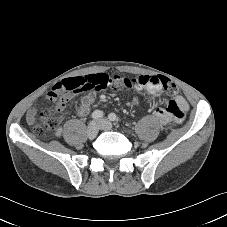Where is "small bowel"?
I'll return each instance as SVG.
<instances>
[{"label":"small bowel","instance_id":"c3829d8e","mask_svg":"<svg viewBox=\"0 0 227 227\" xmlns=\"http://www.w3.org/2000/svg\"><path fill=\"white\" fill-rule=\"evenodd\" d=\"M145 77L150 76L136 78L135 88L145 91L151 97L158 96L162 86L160 84H142L140 80ZM132 85L133 78L131 76L89 74L57 82L49 89L47 98L55 101L56 108L62 111L73 95L83 93L84 95L78 108V115L84 117L90 112V108L95 101V90H102L110 86L131 87ZM188 108L189 105L186 99L181 95H176L166 108H156L154 113L163 124H169L171 122H180ZM36 113L35 107L28 110L26 119L30 125L36 123Z\"/></svg>","mask_w":227,"mask_h":227}]
</instances>
